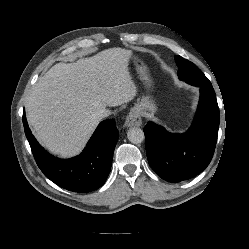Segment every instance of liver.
<instances>
[{
  "label": "liver",
  "mask_w": 249,
  "mask_h": 249,
  "mask_svg": "<svg viewBox=\"0 0 249 249\" xmlns=\"http://www.w3.org/2000/svg\"><path fill=\"white\" fill-rule=\"evenodd\" d=\"M131 56L129 50L107 49L76 63H57L38 80L26 98L27 120L50 152L77 155L97 127L99 111L134 99Z\"/></svg>",
  "instance_id": "6515ba94"
}]
</instances>
